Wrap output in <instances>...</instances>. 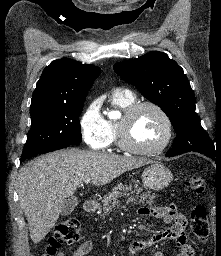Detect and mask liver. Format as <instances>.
<instances>
[{
	"label": "liver",
	"mask_w": 221,
	"mask_h": 256,
	"mask_svg": "<svg viewBox=\"0 0 221 256\" xmlns=\"http://www.w3.org/2000/svg\"><path fill=\"white\" fill-rule=\"evenodd\" d=\"M143 158L63 149L39 156L19 171L17 192L29 225L30 237L39 243L57 222L66 198L87 178L105 185L126 171L151 164Z\"/></svg>",
	"instance_id": "6515ba94"
}]
</instances>
